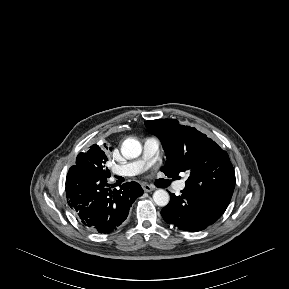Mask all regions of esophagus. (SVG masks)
Wrapping results in <instances>:
<instances>
[{"mask_svg":"<svg viewBox=\"0 0 289 289\" xmlns=\"http://www.w3.org/2000/svg\"><path fill=\"white\" fill-rule=\"evenodd\" d=\"M142 188H143V190H144L145 192H151V191H153V190L155 189L153 186L148 185V184H143V185H142Z\"/></svg>","mask_w":289,"mask_h":289,"instance_id":"1","label":"esophagus"}]
</instances>
